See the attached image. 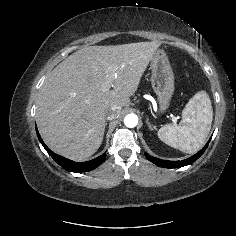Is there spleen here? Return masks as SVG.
<instances>
[{"label":"spleen","mask_w":236,"mask_h":236,"mask_svg":"<svg viewBox=\"0 0 236 236\" xmlns=\"http://www.w3.org/2000/svg\"><path fill=\"white\" fill-rule=\"evenodd\" d=\"M213 110L205 91L196 93L182 111L180 125L166 124L158 137L167 145L184 153L196 152L204 143L212 124Z\"/></svg>","instance_id":"3e777b00"}]
</instances>
